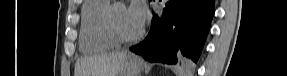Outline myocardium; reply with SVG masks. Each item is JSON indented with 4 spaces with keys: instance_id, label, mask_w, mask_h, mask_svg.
Listing matches in <instances>:
<instances>
[{
    "instance_id": "myocardium-1",
    "label": "myocardium",
    "mask_w": 287,
    "mask_h": 76,
    "mask_svg": "<svg viewBox=\"0 0 287 76\" xmlns=\"http://www.w3.org/2000/svg\"><path fill=\"white\" fill-rule=\"evenodd\" d=\"M118 7H126L125 3L120 1L113 2L107 9L104 16V29L115 43H131L139 40L144 35V29L134 35H126L120 31L116 24L115 13Z\"/></svg>"
}]
</instances>
